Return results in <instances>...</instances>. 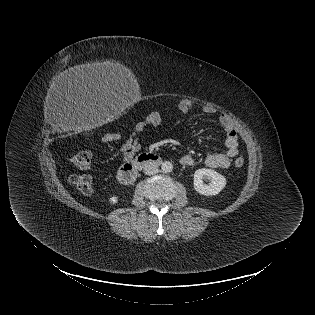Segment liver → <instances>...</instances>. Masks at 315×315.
I'll list each match as a JSON object with an SVG mask.
<instances>
[{
	"mask_svg": "<svg viewBox=\"0 0 315 315\" xmlns=\"http://www.w3.org/2000/svg\"><path fill=\"white\" fill-rule=\"evenodd\" d=\"M61 79L69 84L133 82L134 75L130 69L119 62H95L69 68L61 74Z\"/></svg>",
	"mask_w": 315,
	"mask_h": 315,
	"instance_id": "1",
	"label": "liver"
}]
</instances>
